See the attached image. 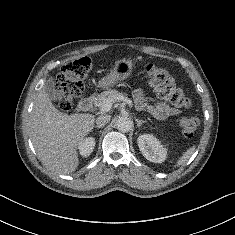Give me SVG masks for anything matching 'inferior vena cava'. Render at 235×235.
<instances>
[{"label":"inferior vena cava","instance_id":"inferior-vena-cava-1","mask_svg":"<svg viewBox=\"0 0 235 235\" xmlns=\"http://www.w3.org/2000/svg\"><path fill=\"white\" fill-rule=\"evenodd\" d=\"M111 119L110 115H100L99 117L96 118V124L98 126H104L107 124Z\"/></svg>","mask_w":235,"mask_h":235}]
</instances>
